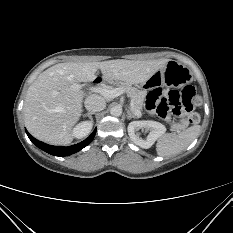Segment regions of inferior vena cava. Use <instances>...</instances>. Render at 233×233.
<instances>
[{
    "mask_svg": "<svg viewBox=\"0 0 233 233\" xmlns=\"http://www.w3.org/2000/svg\"><path fill=\"white\" fill-rule=\"evenodd\" d=\"M85 108L90 112L102 111L106 107V101L103 97L92 94L85 99Z\"/></svg>",
    "mask_w": 233,
    "mask_h": 233,
    "instance_id": "1",
    "label": "inferior vena cava"
}]
</instances>
